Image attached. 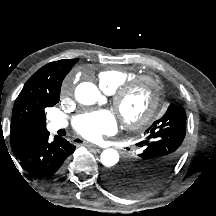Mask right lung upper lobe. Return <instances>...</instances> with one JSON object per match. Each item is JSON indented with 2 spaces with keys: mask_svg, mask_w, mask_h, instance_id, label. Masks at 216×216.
Segmentation results:
<instances>
[{
  "mask_svg": "<svg viewBox=\"0 0 216 216\" xmlns=\"http://www.w3.org/2000/svg\"><path fill=\"white\" fill-rule=\"evenodd\" d=\"M78 59L46 64L25 83L17 97L11 121V144L17 154L34 136L46 132L45 109L60 98L61 84Z\"/></svg>",
  "mask_w": 216,
  "mask_h": 216,
  "instance_id": "right-lung-upper-lobe-1",
  "label": "right lung upper lobe"
}]
</instances>
